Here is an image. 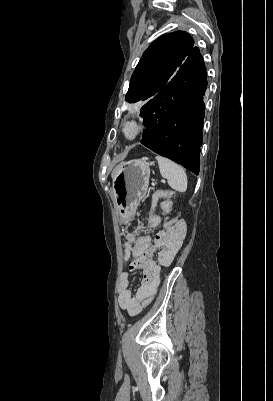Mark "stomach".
<instances>
[{
    "instance_id": "0dacf381",
    "label": "stomach",
    "mask_w": 273,
    "mask_h": 401,
    "mask_svg": "<svg viewBox=\"0 0 273 401\" xmlns=\"http://www.w3.org/2000/svg\"><path fill=\"white\" fill-rule=\"evenodd\" d=\"M148 158H136L122 162L113 178L114 205L119 213L120 223L128 225L145 196L150 178Z\"/></svg>"
}]
</instances>
